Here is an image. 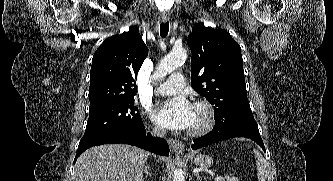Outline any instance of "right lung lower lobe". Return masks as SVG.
<instances>
[{
    "label": "right lung lower lobe",
    "instance_id": "obj_1",
    "mask_svg": "<svg viewBox=\"0 0 333 181\" xmlns=\"http://www.w3.org/2000/svg\"><path fill=\"white\" fill-rule=\"evenodd\" d=\"M107 143L129 144L162 156L169 155V147L167 142L162 138L152 137L150 134L146 135V130L142 123L141 125L134 127L126 132L111 133L93 138L81 139L75 161L77 157L86 149L92 146Z\"/></svg>",
    "mask_w": 333,
    "mask_h": 181
}]
</instances>
